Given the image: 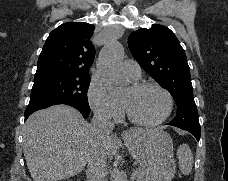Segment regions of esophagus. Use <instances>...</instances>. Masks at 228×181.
Segmentation results:
<instances>
[{
  "instance_id": "34e87169",
  "label": "esophagus",
  "mask_w": 228,
  "mask_h": 181,
  "mask_svg": "<svg viewBox=\"0 0 228 181\" xmlns=\"http://www.w3.org/2000/svg\"><path fill=\"white\" fill-rule=\"evenodd\" d=\"M122 137H126V136H129L130 135V132H128V131H122Z\"/></svg>"
}]
</instances>
